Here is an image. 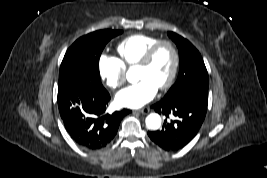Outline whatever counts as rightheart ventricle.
<instances>
[{
	"label": "right heart ventricle",
	"mask_w": 267,
	"mask_h": 178,
	"mask_svg": "<svg viewBox=\"0 0 267 178\" xmlns=\"http://www.w3.org/2000/svg\"><path fill=\"white\" fill-rule=\"evenodd\" d=\"M160 41L159 37L135 34L123 39L117 46L120 62L125 67L137 65L147 50Z\"/></svg>",
	"instance_id": "right-heart-ventricle-1"
}]
</instances>
